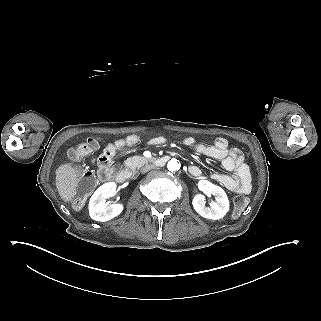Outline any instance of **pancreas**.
Returning a JSON list of instances; mask_svg holds the SVG:
<instances>
[{"instance_id":"obj_1","label":"pancreas","mask_w":321,"mask_h":321,"mask_svg":"<svg viewBox=\"0 0 321 321\" xmlns=\"http://www.w3.org/2000/svg\"><path fill=\"white\" fill-rule=\"evenodd\" d=\"M150 161L149 158L143 157V156H133L126 160L127 166H142L144 164H147Z\"/></svg>"}]
</instances>
